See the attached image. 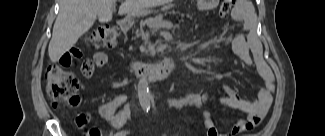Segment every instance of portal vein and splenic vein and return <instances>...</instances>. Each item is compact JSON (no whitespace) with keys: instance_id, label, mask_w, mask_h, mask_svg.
Returning a JSON list of instances; mask_svg holds the SVG:
<instances>
[{"instance_id":"1","label":"portal vein and splenic vein","mask_w":325,"mask_h":136,"mask_svg":"<svg viewBox=\"0 0 325 136\" xmlns=\"http://www.w3.org/2000/svg\"><path fill=\"white\" fill-rule=\"evenodd\" d=\"M150 22H152V19L149 20ZM156 24L160 25V26H171L172 23L167 22V21H163V20H159Z\"/></svg>"}]
</instances>
